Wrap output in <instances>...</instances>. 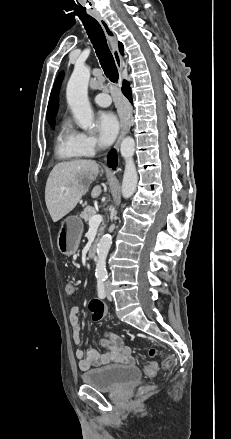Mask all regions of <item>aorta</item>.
Returning <instances> with one entry per match:
<instances>
[{"label":"aorta","mask_w":231,"mask_h":439,"mask_svg":"<svg viewBox=\"0 0 231 439\" xmlns=\"http://www.w3.org/2000/svg\"><path fill=\"white\" fill-rule=\"evenodd\" d=\"M90 68L86 65H76L68 81L66 97L77 124L83 130H91L93 123V111L88 100V84ZM120 152L125 160V170L122 182V195L124 198L131 197L137 187L138 176L133 160L135 142L132 137L123 139ZM112 244V236L105 234L97 246V262L95 275L97 278L107 276L106 259Z\"/></svg>","instance_id":"762f6f07"}]
</instances>
